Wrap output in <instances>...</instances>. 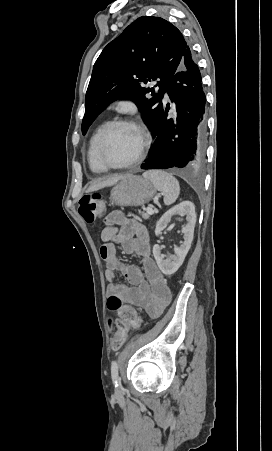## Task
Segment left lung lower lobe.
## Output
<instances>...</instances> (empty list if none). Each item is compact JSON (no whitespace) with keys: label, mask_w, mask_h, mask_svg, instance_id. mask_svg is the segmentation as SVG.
<instances>
[{"label":"left lung lower lobe","mask_w":272,"mask_h":451,"mask_svg":"<svg viewBox=\"0 0 272 451\" xmlns=\"http://www.w3.org/2000/svg\"><path fill=\"white\" fill-rule=\"evenodd\" d=\"M166 92L175 103L177 113L169 118V107L162 110L156 122L150 157L141 167L193 169L205 159L206 96L200 69L189 46Z\"/></svg>","instance_id":"left-lung-lower-lobe-1"}]
</instances>
